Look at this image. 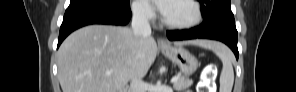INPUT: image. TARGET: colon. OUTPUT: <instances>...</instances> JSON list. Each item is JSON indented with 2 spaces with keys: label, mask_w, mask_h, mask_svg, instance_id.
<instances>
[{
  "label": "colon",
  "mask_w": 296,
  "mask_h": 92,
  "mask_svg": "<svg viewBox=\"0 0 296 92\" xmlns=\"http://www.w3.org/2000/svg\"><path fill=\"white\" fill-rule=\"evenodd\" d=\"M215 78V67L209 65L205 68L200 79V92H210V87L213 84Z\"/></svg>",
  "instance_id": "colon-1"
}]
</instances>
